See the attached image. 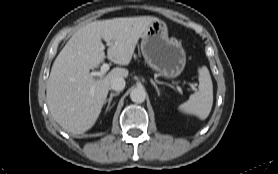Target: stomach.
<instances>
[{"mask_svg": "<svg viewBox=\"0 0 278 174\" xmlns=\"http://www.w3.org/2000/svg\"><path fill=\"white\" fill-rule=\"evenodd\" d=\"M141 52L150 68L167 79L178 77L186 64V53L180 41L170 37L165 22H153L143 33Z\"/></svg>", "mask_w": 278, "mask_h": 174, "instance_id": "0dacf381", "label": "stomach"}]
</instances>
